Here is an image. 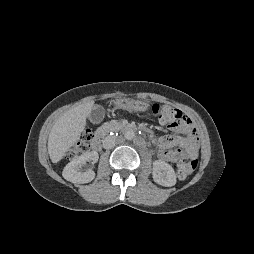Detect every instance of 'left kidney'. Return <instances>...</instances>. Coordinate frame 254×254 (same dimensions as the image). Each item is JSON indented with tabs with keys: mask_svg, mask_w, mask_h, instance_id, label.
I'll return each mask as SVG.
<instances>
[{
	"mask_svg": "<svg viewBox=\"0 0 254 254\" xmlns=\"http://www.w3.org/2000/svg\"><path fill=\"white\" fill-rule=\"evenodd\" d=\"M153 179L162 186L171 187L176 184V174L172 166L165 161L156 160L153 162Z\"/></svg>",
	"mask_w": 254,
	"mask_h": 254,
	"instance_id": "left-kidney-1",
	"label": "left kidney"
}]
</instances>
